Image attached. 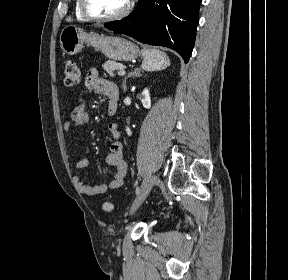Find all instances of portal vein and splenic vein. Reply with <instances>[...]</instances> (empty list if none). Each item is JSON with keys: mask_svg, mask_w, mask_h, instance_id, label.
Returning <instances> with one entry per match:
<instances>
[{"mask_svg": "<svg viewBox=\"0 0 288 280\" xmlns=\"http://www.w3.org/2000/svg\"><path fill=\"white\" fill-rule=\"evenodd\" d=\"M125 70L124 68L119 69L118 75H125Z\"/></svg>", "mask_w": 288, "mask_h": 280, "instance_id": "obj_1", "label": "portal vein and splenic vein"}]
</instances>
